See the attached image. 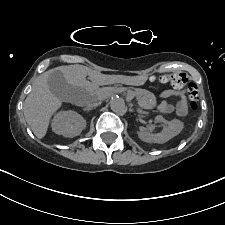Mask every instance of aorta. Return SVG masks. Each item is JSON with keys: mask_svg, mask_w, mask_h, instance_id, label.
Wrapping results in <instances>:
<instances>
[{"mask_svg": "<svg viewBox=\"0 0 225 225\" xmlns=\"http://www.w3.org/2000/svg\"><path fill=\"white\" fill-rule=\"evenodd\" d=\"M111 110L117 114L123 115L127 111L125 101L121 97H114L110 101Z\"/></svg>", "mask_w": 225, "mask_h": 225, "instance_id": "obj_1", "label": "aorta"}]
</instances>
